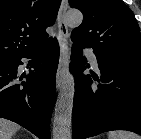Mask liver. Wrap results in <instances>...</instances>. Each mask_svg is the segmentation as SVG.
<instances>
[{"label": "liver", "mask_w": 141, "mask_h": 139, "mask_svg": "<svg viewBox=\"0 0 141 139\" xmlns=\"http://www.w3.org/2000/svg\"><path fill=\"white\" fill-rule=\"evenodd\" d=\"M21 127L4 118H0V139H12V136L20 129Z\"/></svg>", "instance_id": "6515ba94"}]
</instances>
